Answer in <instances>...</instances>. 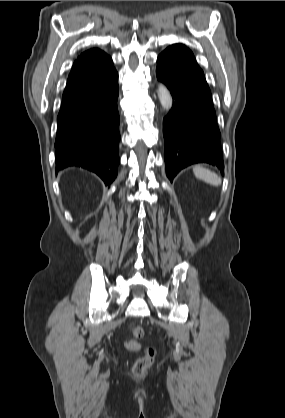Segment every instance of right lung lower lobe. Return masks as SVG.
Segmentation results:
<instances>
[{"mask_svg": "<svg viewBox=\"0 0 285 418\" xmlns=\"http://www.w3.org/2000/svg\"><path fill=\"white\" fill-rule=\"evenodd\" d=\"M118 74L62 98L57 117L56 172L79 166L98 174L105 185L117 176L120 118Z\"/></svg>", "mask_w": 285, "mask_h": 418, "instance_id": "obj_1", "label": "right lung lower lobe"}]
</instances>
